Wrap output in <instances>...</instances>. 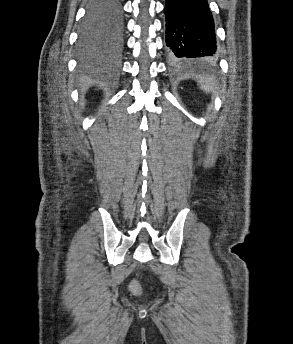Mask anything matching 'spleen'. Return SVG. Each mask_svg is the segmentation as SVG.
<instances>
[{
    "label": "spleen",
    "mask_w": 293,
    "mask_h": 344,
    "mask_svg": "<svg viewBox=\"0 0 293 344\" xmlns=\"http://www.w3.org/2000/svg\"><path fill=\"white\" fill-rule=\"evenodd\" d=\"M201 89L206 93L214 91V81L213 78H202L201 79Z\"/></svg>",
    "instance_id": "spleen-1"
}]
</instances>
